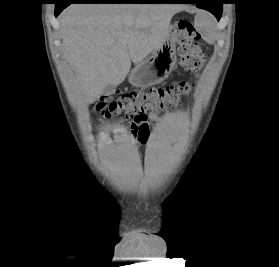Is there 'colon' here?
<instances>
[{
  "mask_svg": "<svg viewBox=\"0 0 279 267\" xmlns=\"http://www.w3.org/2000/svg\"><path fill=\"white\" fill-rule=\"evenodd\" d=\"M200 42V33L193 22L188 19L180 20L177 34L179 63L187 71L198 72L205 63ZM191 89V83L179 82L147 91L128 92L118 99L102 97L96 105V111L103 118L124 117L131 123L144 118L149 112H162L168 106L176 104Z\"/></svg>",
  "mask_w": 279,
  "mask_h": 267,
  "instance_id": "5ec220e1",
  "label": "colon"
}]
</instances>
